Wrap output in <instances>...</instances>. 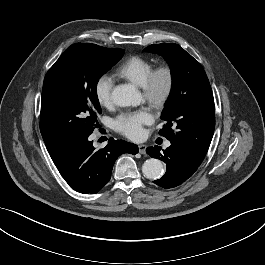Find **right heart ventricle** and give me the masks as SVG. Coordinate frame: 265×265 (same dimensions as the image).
<instances>
[{
	"instance_id": "1",
	"label": "right heart ventricle",
	"mask_w": 265,
	"mask_h": 265,
	"mask_svg": "<svg viewBox=\"0 0 265 265\" xmlns=\"http://www.w3.org/2000/svg\"><path fill=\"white\" fill-rule=\"evenodd\" d=\"M154 69V64L139 55L128 57L117 69L116 74L125 78L139 87H143Z\"/></svg>"
}]
</instances>
